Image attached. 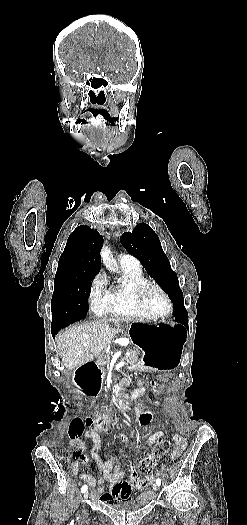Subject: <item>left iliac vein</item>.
Returning <instances> with one entry per match:
<instances>
[{
	"label": "left iliac vein",
	"mask_w": 247,
	"mask_h": 525,
	"mask_svg": "<svg viewBox=\"0 0 247 525\" xmlns=\"http://www.w3.org/2000/svg\"><path fill=\"white\" fill-rule=\"evenodd\" d=\"M153 489H154V491H158L159 486H158L157 484H154V485H153Z\"/></svg>",
	"instance_id": "1"
}]
</instances>
